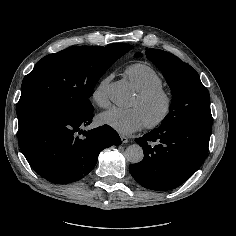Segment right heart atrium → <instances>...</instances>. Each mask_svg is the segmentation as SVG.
<instances>
[{
    "instance_id": "obj_1",
    "label": "right heart atrium",
    "mask_w": 236,
    "mask_h": 236,
    "mask_svg": "<svg viewBox=\"0 0 236 236\" xmlns=\"http://www.w3.org/2000/svg\"><path fill=\"white\" fill-rule=\"evenodd\" d=\"M112 74L105 76L93 89L91 93V98L95 104L100 107H105L108 105V95H107V86L110 80L112 79Z\"/></svg>"
}]
</instances>
